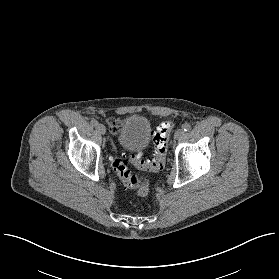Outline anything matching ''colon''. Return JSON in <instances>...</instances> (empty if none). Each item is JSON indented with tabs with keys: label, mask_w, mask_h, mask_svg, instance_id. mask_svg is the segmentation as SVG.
I'll use <instances>...</instances> for the list:
<instances>
[{
	"label": "colon",
	"mask_w": 279,
	"mask_h": 279,
	"mask_svg": "<svg viewBox=\"0 0 279 279\" xmlns=\"http://www.w3.org/2000/svg\"><path fill=\"white\" fill-rule=\"evenodd\" d=\"M173 128L171 121H163L154 133L155 158L146 161L138 152L122 153L112 161V169L120 178L124 186L136 189L140 195H146L149 191L148 179L141 175H133L128 168V161L139 169L147 172H156L164 165L168 148V136Z\"/></svg>",
	"instance_id": "5ec220e1"
}]
</instances>
